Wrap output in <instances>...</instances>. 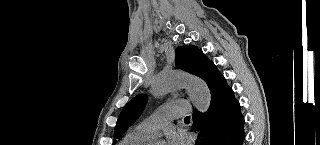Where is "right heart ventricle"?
Returning <instances> with one entry per match:
<instances>
[{"label": "right heart ventricle", "mask_w": 320, "mask_h": 145, "mask_svg": "<svg viewBox=\"0 0 320 145\" xmlns=\"http://www.w3.org/2000/svg\"><path fill=\"white\" fill-rule=\"evenodd\" d=\"M151 138L137 132L135 129L128 132L120 142V145H146Z\"/></svg>", "instance_id": "1"}]
</instances>
